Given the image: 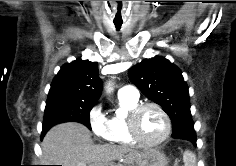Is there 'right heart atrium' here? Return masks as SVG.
<instances>
[{"label":"right heart atrium","instance_id":"1","mask_svg":"<svg viewBox=\"0 0 236 166\" xmlns=\"http://www.w3.org/2000/svg\"><path fill=\"white\" fill-rule=\"evenodd\" d=\"M88 123L95 137L108 140V118L106 117L100 103L93 105L89 110Z\"/></svg>","mask_w":236,"mask_h":166}]
</instances>
